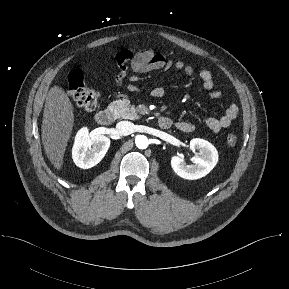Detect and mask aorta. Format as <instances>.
I'll use <instances>...</instances> for the list:
<instances>
[{
    "instance_id": "762f6f07",
    "label": "aorta",
    "mask_w": 289,
    "mask_h": 289,
    "mask_svg": "<svg viewBox=\"0 0 289 289\" xmlns=\"http://www.w3.org/2000/svg\"><path fill=\"white\" fill-rule=\"evenodd\" d=\"M136 146L139 149H146L149 145L148 138L144 135H139L135 139Z\"/></svg>"
}]
</instances>
